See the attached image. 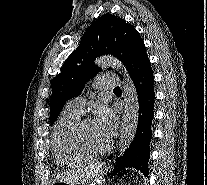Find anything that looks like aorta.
Here are the masks:
<instances>
[{
  "label": "aorta",
  "mask_w": 207,
  "mask_h": 185,
  "mask_svg": "<svg viewBox=\"0 0 207 185\" xmlns=\"http://www.w3.org/2000/svg\"><path fill=\"white\" fill-rule=\"evenodd\" d=\"M100 67H114L124 76V112L121 124L119 154L122 155L131 145L138 126L139 102L136 88L124 65L112 56H103L96 59Z\"/></svg>",
  "instance_id": "762f6f07"
}]
</instances>
